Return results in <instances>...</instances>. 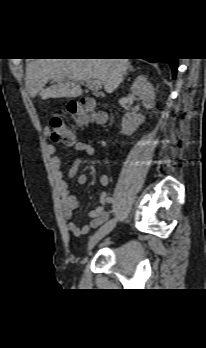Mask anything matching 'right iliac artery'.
<instances>
[{
    "mask_svg": "<svg viewBox=\"0 0 206 348\" xmlns=\"http://www.w3.org/2000/svg\"><path fill=\"white\" fill-rule=\"evenodd\" d=\"M105 204H110V201H113V196L107 195L104 197Z\"/></svg>",
    "mask_w": 206,
    "mask_h": 348,
    "instance_id": "1",
    "label": "right iliac artery"
}]
</instances>
